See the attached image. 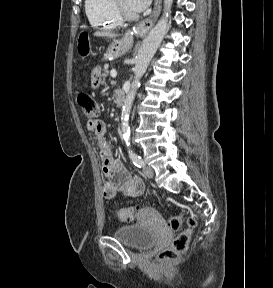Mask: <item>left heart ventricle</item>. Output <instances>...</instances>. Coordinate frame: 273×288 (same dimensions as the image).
Instances as JSON below:
<instances>
[{
    "mask_svg": "<svg viewBox=\"0 0 273 288\" xmlns=\"http://www.w3.org/2000/svg\"><path fill=\"white\" fill-rule=\"evenodd\" d=\"M121 5L126 8L129 12L134 13V11L131 10V8L128 5L127 0H120Z\"/></svg>",
    "mask_w": 273,
    "mask_h": 288,
    "instance_id": "obj_1",
    "label": "left heart ventricle"
}]
</instances>
